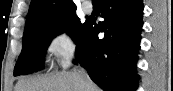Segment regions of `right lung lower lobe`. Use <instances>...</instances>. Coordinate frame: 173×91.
<instances>
[{"label": "right lung lower lobe", "mask_w": 173, "mask_h": 91, "mask_svg": "<svg viewBox=\"0 0 173 91\" xmlns=\"http://www.w3.org/2000/svg\"><path fill=\"white\" fill-rule=\"evenodd\" d=\"M105 20L89 21L77 44V61L106 91H134L135 65L142 29V0H101ZM104 32L99 39L98 33Z\"/></svg>", "instance_id": "obj_1"}]
</instances>
